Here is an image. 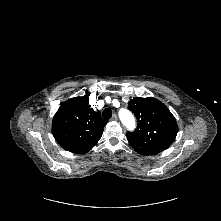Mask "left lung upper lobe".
Instances as JSON below:
<instances>
[{"label":"left lung upper lobe","mask_w":221,"mask_h":221,"mask_svg":"<svg viewBox=\"0 0 221 221\" xmlns=\"http://www.w3.org/2000/svg\"><path fill=\"white\" fill-rule=\"evenodd\" d=\"M128 108L137 118V128L127 132L132 148L141 155H155L174 141L178 126L170 110L153 97L133 98Z\"/></svg>","instance_id":"left-lung-upper-lobe-1"}]
</instances>
